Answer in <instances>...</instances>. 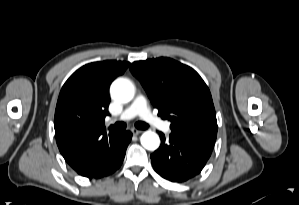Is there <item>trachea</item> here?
I'll return each mask as SVG.
<instances>
[{"mask_svg":"<svg viewBox=\"0 0 299 205\" xmlns=\"http://www.w3.org/2000/svg\"><path fill=\"white\" fill-rule=\"evenodd\" d=\"M135 127L137 129L145 130V129L149 128V125L144 123V122L138 121V122L135 123ZM109 129L114 130L116 132H123L126 129V123L117 122L114 125H110Z\"/></svg>","mask_w":299,"mask_h":205,"instance_id":"1","label":"trachea"}]
</instances>
